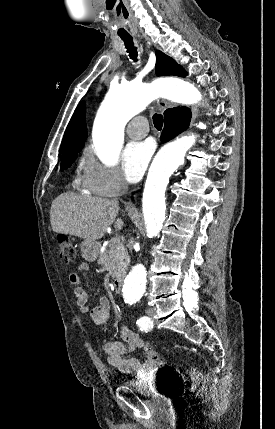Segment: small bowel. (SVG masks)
<instances>
[{"instance_id":"1","label":"small bowel","mask_w":275,"mask_h":429,"mask_svg":"<svg viewBox=\"0 0 275 429\" xmlns=\"http://www.w3.org/2000/svg\"><path fill=\"white\" fill-rule=\"evenodd\" d=\"M89 265L82 262L78 265L79 272H87ZM69 282L73 285V293L75 303L80 311L84 314L88 313L94 324L102 326L109 318L110 305L106 297H100L98 304L95 307H90L87 300V294L80 285V277L73 273L69 276ZM121 340L109 341L105 343L104 350L108 363L122 373L130 374L132 372L142 373L153 370L154 364L150 361L141 362L136 358H126L127 353L132 352L137 348H146L148 345L139 335L132 332L126 326H122L120 330Z\"/></svg>"}]
</instances>
